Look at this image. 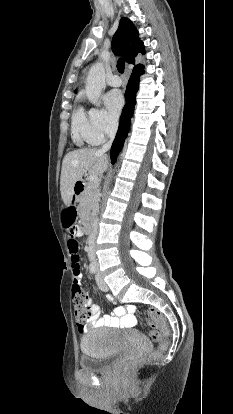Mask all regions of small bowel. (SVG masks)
Here are the masks:
<instances>
[{
  "label": "small bowel",
  "mask_w": 233,
  "mask_h": 414,
  "mask_svg": "<svg viewBox=\"0 0 233 414\" xmlns=\"http://www.w3.org/2000/svg\"><path fill=\"white\" fill-rule=\"evenodd\" d=\"M76 235L80 236L81 232L76 230ZM72 270L74 272V284L72 288L73 294H78L79 289L82 286V271L80 267V262L78 261L79 253L76 250H73L70 253ZM89 288L88 286L86 287ZM107 302L115 304L114 298L107 294ZM87 305L89 306L90 311V324L91 327H109V328H131L134 327L137 323V319L134 312L133 305H126L125 307H117L110 314L103 315L101 313L100 307L93 302L91 298L87 299ZM89 329L88 326H85L83 329L86 332Z\"/></svg>",
  "instance_id": "small-bowel-1"
}]
</instances>
